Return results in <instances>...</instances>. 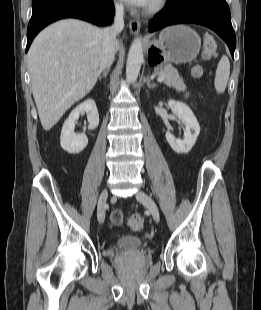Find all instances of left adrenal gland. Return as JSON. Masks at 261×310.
<instances>
[{
  "label": "left adrenal gland",
  "mask_w": 261,
  "mask_h": 310,
  "mask_svg": "<svg viewBox=\"0 0 261 310\" xmlns=\"http://www.w3.org/2000/svg\"><path fill=\"white\" fill-rule=\"evenodd\" d=\"M146 82H147V87L149 89H153V88L157 87V85L155 83H151L149 76L147 77Z\"/></svg>",
  "instance_id": "left-adrenal-gland-1"
}]
</instances>
